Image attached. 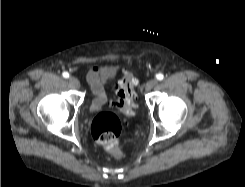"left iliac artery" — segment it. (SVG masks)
Here are the masks:
<instances>
[{"mask_svg": "<svg viewBox=\"0 0 245 187\" xmlns=\"http://www.w3.org/2000/svg\"><path fill=\"white\" fill-rule=\"evenodd\" d=\"M163 78H164V75L162 73H159L156 75L157 80H163Z\"/></svg>", "mask_w": 245, "mask_h": 187, "instance_id": "1", "label": "left iliac artery"}]
</instances>
